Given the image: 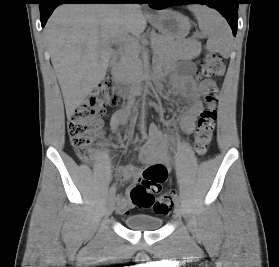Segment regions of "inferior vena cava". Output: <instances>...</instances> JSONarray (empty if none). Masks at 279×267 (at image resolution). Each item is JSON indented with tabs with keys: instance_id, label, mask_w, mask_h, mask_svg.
<instances>
[{
	"instance_id": "1",
	"label": "inferior vena cava",
	"mask_w": 279,
	"mask_h": 267,
	"mask_svg": "<svg viewBox=\"0 0 279 267\" xmlns=\"http://www.w3.org/2000/svg\"><path fill=\"white\" fill-rule=\"evenodd\" d=\"M122 7L125 10H134V9H137L139 6L136 3H126V4H123Z\"/></svg>"
}]
</instances>
